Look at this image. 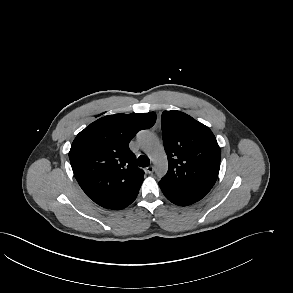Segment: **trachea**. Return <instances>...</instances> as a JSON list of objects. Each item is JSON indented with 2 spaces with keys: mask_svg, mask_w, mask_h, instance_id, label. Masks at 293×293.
Here are the masks:
<instances>
[{
  "mask_svg": "<svg viewBox=\"0 0 293 293\" xmlns=\"http://www.w3.org/2000/svg\"><path fill=\"white\" fill-rule=\"evenodd\" d=\"M138 165L140 167H148L150 165V160L147 156L145 155H140L138 157Z\"/></svg>",
  "mask_w": 293,
  "mask_h": 293,
  "instance_id": "trachea-1",
  "label": "trachea"
}]
</instances>
